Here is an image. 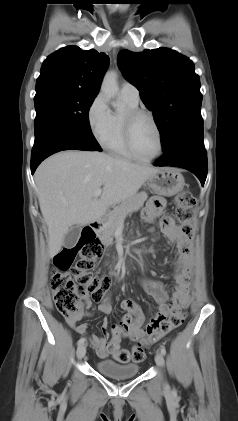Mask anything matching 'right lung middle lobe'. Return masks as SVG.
<instances>
[{"instance_id":"1","label":"right lung middle lobe","mask_w":238,"mask_h":421,"mask_svg":"<svg viewBox=\"0 0 238 421\" xmlns=\"http://www.w3.org/2000/svg\"><path fill=\"white\" fill-rule=\"evenodd\" d=\"M96 95V93L56 86L36 89L35 136L46 124L54 123L101 150L91 132L88 120L89 107Z\"/></svg>"}]
</instances>
